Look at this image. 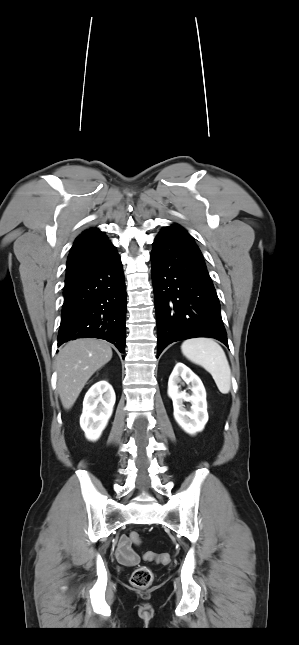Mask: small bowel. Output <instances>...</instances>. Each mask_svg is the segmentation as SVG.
I'll list each match as a JSON object with an SVG mask.
<instances>
[{"label":"small bowel","mask_w":299,"mask_h":645,"mask_svg":"<svg viewBox=\"0 0 299 645\" xmlns=\"http://www.w3.org/2000/svg\"><path fill=\"white\" fill-rule=\"evenodd\" d=\"M131 543L132 541L127 535H122L118 539L116 556L123 564L133 565L139 561V557L133 550Z\"/></svg>","instance_id":"1"}]
</instances>
